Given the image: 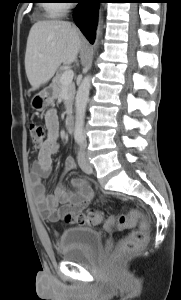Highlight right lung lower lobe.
<instances>
[{"mask_svg":"<svg viewBox=\"0 0 181 300\" xmlns=\"http://www.w3.org/2000/svg\"><path fill=\"white\" fill-rule=\"evenodd\" d=\"M100 2V0H80L73 12L76 25L91 43H93L95 37Z\"/></svg>","mask_w":181,"mask_h":300,"instance_id":"right-lung-lower-lobe-1","label":"right lung lower lobe"}]
</instances>
